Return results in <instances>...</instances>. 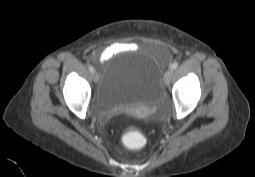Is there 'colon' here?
Segmentation results:
<instances>
[{
    "instance_id": "colon-1",
    "label": "colon",
    "mask_w": 255,
    "mask_h": 177,
    "mask_svg": "<svg viewBox=\"0 0 255 177\" xmlns=\"http://www.w3.org/2000/svg\"><path fill=\"white\" fill-rule=\"evenodd\" d=\"M143 141H144L143 136L138 132H130L123 137V143L128 148L132 149L140 148L143 144Z\"/></svg>"
}]
</instances>
